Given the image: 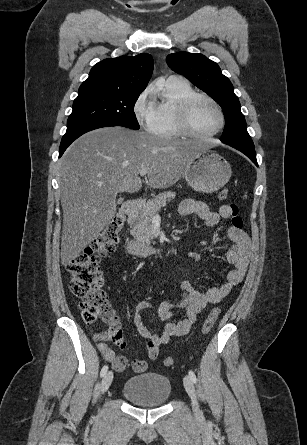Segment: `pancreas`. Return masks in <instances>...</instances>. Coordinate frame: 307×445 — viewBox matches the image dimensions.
<instances>
[{"label":"pancreas","mask_w":307,"mask_h":445,"mask_svg":"<svg viewBox=\"0 0 307 445\" xmlns=\"http://www.w3.org/2000/svg\"><path fill=\"white\" fill-rule=\"evenodd\" d=\"M175 198V192L168 190V192H160L155 198H150L147 202H144L143 206H140L138 212H136V220L132 225V231H135L133 237H136L137 241H142L146 245H151L153 241L152 233V218L158 210H161L162 206H166L167 200H173Z\"/></svg>","instance_id":"obj_1"}]
</instances>
